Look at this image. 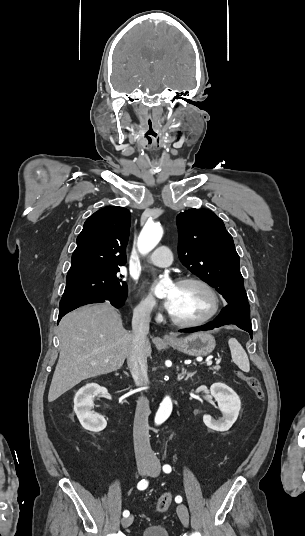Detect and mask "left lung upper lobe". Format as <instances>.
Segmentation results:
<instances>
[{
  "mask_svg": "<svg viewBox=\"0 0 305 536\" xmlns=\"http://www.w3.org/2000/svg\"><path fill=\"white\" fill-rule=\"evenodd\" d=\"M176 220L182 264L222 294L228 305L248 302L239 255L223 221L208 209L187 210Z\"/></svg>",
  "mask_w": 305,
  "mask_h": 536,
  "instance_id": "5c2ea615",
  "label": "left lung upper lobe"
}]
</instances>
